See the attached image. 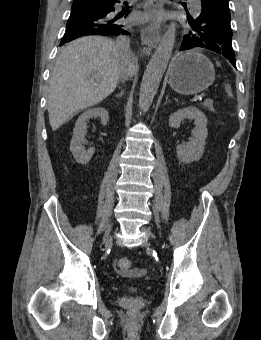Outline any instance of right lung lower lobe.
Returning a JSON list of instances; mask_svg holds the SVG:
<instances>
[{
	"instance_id": "1",
	"label": "right lung lower lobe",
	"mask_w": 261,
	"mask_h": 340,
	"mask_svg": "<svg viewBox=\"0 0 261 340\" xmlns=\"http://www.w3.org/2000/svg\"><path fill=\"white\" fill-rule=\"evenodd\" d=\"M118 0H74L63 41L85 35H117L122 29L129 10H115Z\"/></svg>"
}]
</instances>
